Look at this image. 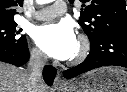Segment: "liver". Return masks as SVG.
Instances as JSON below:
<instances>
[{
  "instance_id": "6515ba94",
  "label": "liver",
  "mask_w": 127,
  "mask_h": 92,
  "mask_svg": "<svg viewBox=\"0 0 127 92\" xmlns=\"http://www.w3.org/2000/svg\"><path fill=\"white\" fill-rule=\"evenodd\" d=\"M38 90L50 92L45 83ZM0 92H29L28 71L0 62Z\"/></svg>"
}]
</instances>
